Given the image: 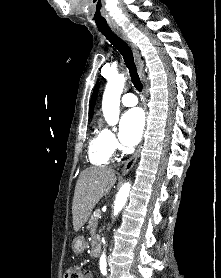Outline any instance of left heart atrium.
Masks as SVG:
<instances>
[{"label": "left heart atrium", "mask_w": 221, "mask_h": 278, "mask_svg": "<svg viewBox=\"0 0 221 278\" xmlns=\"http://www.w3.org/2000/svg\"><path fill=\"white\" fill-rule=\"evenodd\" d=\"M145 118L138 108L125 112L120 122V140L126 146L136 145L142 136Z\"/></svg>", "instance_id": "39dd6f15"}]
</instances>
